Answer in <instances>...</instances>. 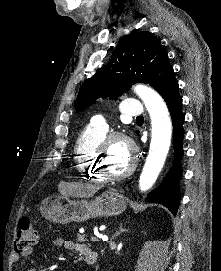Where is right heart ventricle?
<instances>
[{"mask_svg":"<svg viewBox=\"0 0 221 271\" xmlns=\"http://www.w3.org/2000/svg\"><path fill=\"white\" fill-rule=\"evenodd\" d=\"M108 136L105 133H97L91 137L78 138L76 143L75 164H80L78 167L79 179H93V183H103L102 174L96 171L97 165L92 164L93 158H96L95 150L98 144H105Z\"/></svg>","mask_w":221,"mask_h":271,"instance_id":"e07e8e85","label":"right heart ventricle"}]
</instances>
